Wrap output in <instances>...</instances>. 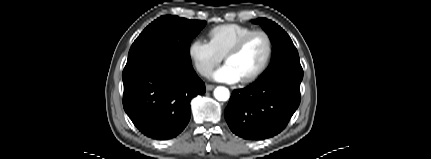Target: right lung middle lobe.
<instances>
[{"instance_id": "right-lung-middle-lobe-1", "label": "right lung middle lobe", "mask_w": 431, "mask_h": 159, "mask_svg": "<svg viewBox=\"0 0 431 159\" xmlns=\"http://www.w3.org/2000/svg\"><path fill=\"white\" fill-rule=\"evenodd\" d=\"M206 25L205 21L165 15L149 24L132 44L128 60L150 51H162L187 63L190 43Z\"/></svg>"}]
</instances>
